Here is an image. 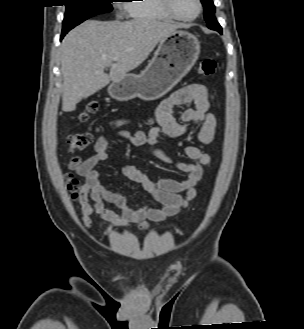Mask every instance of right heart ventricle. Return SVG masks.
<instances>
[{"instance_id":"e07e8e85","label":"right heart ventricle","mask_w":304,"mask_h":329,"mask_svg":"<svg viewBox=\"0 0 304 329\" xmlns=\"http://www.w3.org/2000/svg\"><path fill=\"white\" fill-rule=\"evenodd\" d=\"M129 2L126 4V8L129 15L135 20L156 21L171 18L161 0H130Z\"/></svg>"}]
</instances>
